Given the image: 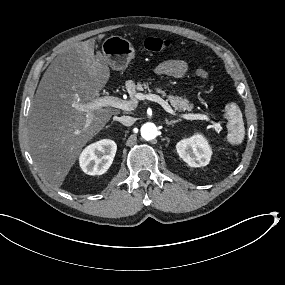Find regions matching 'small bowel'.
<instances>
[{"mask_svg": "<svg viewBox=\"0 0 285 285\" xmlns=\"http://www.w3.org/2000/svg\"><path fill=\"white\" fill-rule=\"evenodd\" d=\"M188 67L185 62L180 60H169L160 64L156 72L160 75H169L174 77H182L186 74Z\"/></svg>", "mask_w": 285, "mask_h": 285, "instance_id": "small-bowel-1", "label": "small bowel"}]
</instances>
